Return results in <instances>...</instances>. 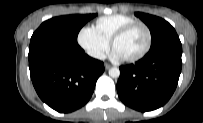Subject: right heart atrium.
Returning a JSON list of instances; mask_svg holds the SVG:
<instances>
[{
    "instance_id": "1",
    "label": "right heart atrium",
    "mask_w": 203,
    "mask_h": 123,
    "mask_svg": "<svg viewBox=\"0 0 203 123\" xmlns=\"http://www.w3.org/2000/svg\"><path fill=\"white\" fill-rule=\"evenodd\" d=\"M77 41L81 48L95 59H102L110 46L109 41L91 26H84L80 29Z\"/></svg>"
}]
</instances>
